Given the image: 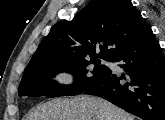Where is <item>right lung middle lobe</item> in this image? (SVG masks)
I'll return each mask as SVG.
<instances>
[{"label": "right lung middle lobe", "mask_w": 165, "mask_h": 120, "mask_svg": "<svg viewBox=\"0 0 165 120\" xmlns=\"http://www.w3.org/2000/svg\"><path fill=\"white\" fill-rule=\"evenodd\" d=\"M100 62L99 58H84L49 60L30 64L24 70L18 94L19 96H48L50 98L80 94L110 73L111 70L105 65H100ZM59 72L71 73L75 83L64 86L48 80Z\"/></svg>", "instance_id": "right-lung-middle-lobe-1"}]
</instances>
